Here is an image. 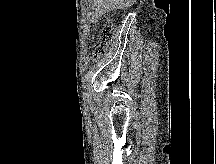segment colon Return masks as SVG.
Instances as JSON below:
<instances>
[{"mask_svg":"<svg viewBox=\"0 0 216 164\" xmlns=\"http://www.w3.org/2000/svg\"><path fill=\"white\" fill-rule=\"evenodd\" d=\"M114 36V27L112 24H106L99 35V42L94 46L93 57L98 59L105 53V46L108 44Z\"/></svg>","mask_w":216,"mask_h":164,"instance_id":"obj_1","label":"colon"}]
</instances>
